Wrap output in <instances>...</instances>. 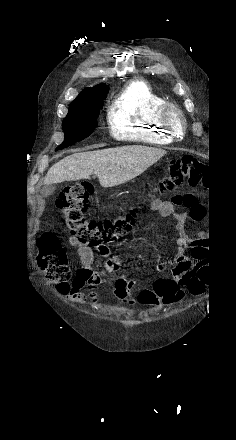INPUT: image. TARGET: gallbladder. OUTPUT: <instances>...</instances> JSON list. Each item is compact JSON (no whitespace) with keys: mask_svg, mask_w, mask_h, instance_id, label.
Instances as JSON below:
<instances>
[{"mask_svg":"<svg viewBox=\"0 0 236 440\" xmlns=\"http://www.w3.org/2000/svg\"><path fill=\"white\" fill-rule=\"evenodd\" d=\"M55 191V186L50 184V185H44L41 189V195L43 197H48L51 194H53V192Z\"/></svg>","mask_w":236,"mask_h":440,"instance_id":"bac80fb5","label":"gallbladder"}]
</instances>
